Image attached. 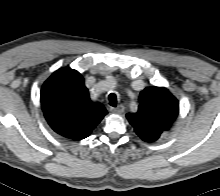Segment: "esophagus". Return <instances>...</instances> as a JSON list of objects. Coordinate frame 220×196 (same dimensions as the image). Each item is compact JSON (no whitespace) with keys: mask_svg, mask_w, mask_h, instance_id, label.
Here are the masks:
<instances>
[{"mask_svg":"<svg viewBox=\"0 0 220 196\" xmlns=\"http://www.w3.org/2000/svg\"><path fill=\"white\" fill-rule=\"evenodd\" d=\"M110 111L113 112V113H122L124 111V106L119 105L117 107H111Z\"/></svg>","mask_w":220,"mask_h":196,"instance_id":"esophagus-1","label":"esophagus"}]
</instances>
